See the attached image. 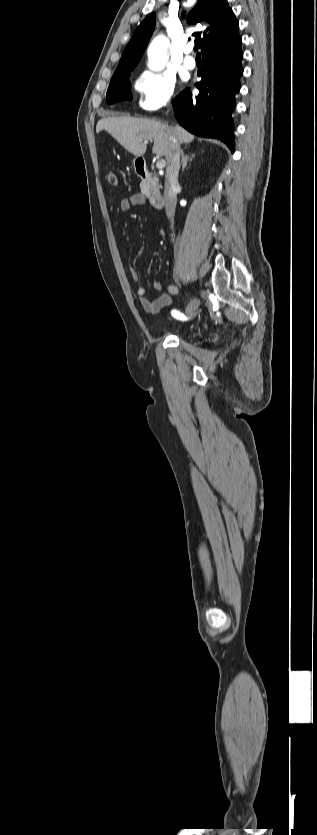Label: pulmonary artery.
Segmentation results:
<instances>
[{
  "label": "pulmonary artery",
  "instance_id": "e3ab8cb5",
  "mask_svg": "<svg viewBox=\"0 0 317 835\" xmlns=\"http://www.w3.org/2000/svg\"><path fill=\"white\" fill-rule=\"evenodd\" d=\"M193 50H194V47L191 44H188L185 47V57H184V60H183V65L185 66V68L190 69V70H192L196 67V60L192 56Z\"/></svg>",
  "mask_w": 317,
  "mask_h": 835
}]
</instances>
